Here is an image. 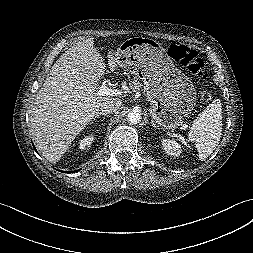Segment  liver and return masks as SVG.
Listing matches in <instances>:
<instances>
[{
    "label": "liver",
    "mask_w": 253,
    "mask_h": 253,
    "mask_svg": "<svg viewBox=\"0 0 253 253\" xmlns=\"http://www.w3.org/2000/svg\"><path fill=\"white\" fill-rule=\"evenodd\" d=\"M112 71L120 65L109 52ZM106 66L93 39L77 43L54 63L38 91L30 119L31 134L44 157L56 163L75 137L113 96L98 95Z\"/></svg>",
    "instance_id": "obj_1"
}]
</instances>
